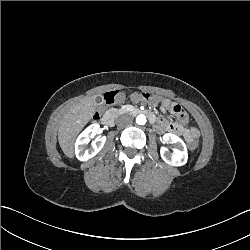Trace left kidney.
Segmentation results:
<instances>
[{
  "instance_id": "1",
  "label": "left kidney",
  "mask_w": 250,
  "mask_h": 250,
  "mask_svg": "<svg viewBox=\"0 0 250 250\" xmlns=\"http://www.w3.org/2000/svg\"><path fill=\"white\" fill-rule=\"evenodd\" d=\"M163 142L175 145L173 153H170L166 147H161L160 154L163 161L171 166H183L187 163V147L180 137L172 133H166L163 135Z\"/></svg>"
}]
</instances>
